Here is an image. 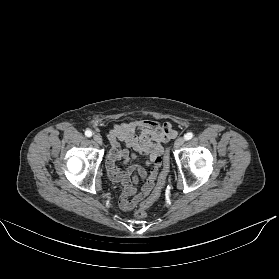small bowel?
Here are the masks:
<instances>
[{
	"mask_svg": "<svg viewBox=\"0 0 279 279\" xmlns=\"http://www.w3.org/2000/svg\"><path fill=\"white\" fill-rule=\"evenodd\" d=\"M176 134L170 123L161 124L150 119L121 122L109 130L107 137L111 150L106 161V170L110 179L121 185L119 206L122 210H132L149 194L159 174L163 144ZM138 156L144 157L148 170L137 164L127 169L117 166V162L126 163Z\"/></svg>",
	"mask_w": 279,
	"mask_h": 279,
	"instance_id": "obj_1",
	"label": "small bowel"
}]
</instances>
